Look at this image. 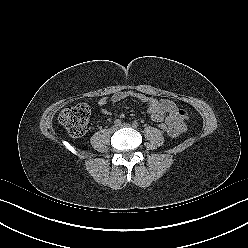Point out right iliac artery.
Here are the masks:
<instances>
[{
  "label": "right iliac artery",
  "mask_w": 248,
  "mask_h": 248,
  "mask_svg": "<svg viewBox=\"0 0 248 248\" xmlns=\"http://www.w3.org/2000/svg\"><path fill=\"white\" fill-rule=\"evenodd\" d=\"M121 124V120L120 119H116L115 121H114V125L115 126H119Z\"/></svg>",
  "instance_id": "1"
}]
</instances>
